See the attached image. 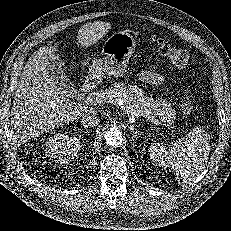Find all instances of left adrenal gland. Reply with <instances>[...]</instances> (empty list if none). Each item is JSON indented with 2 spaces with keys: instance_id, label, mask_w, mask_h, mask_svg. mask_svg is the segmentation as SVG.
Wrapping results in <instances>:
<instances>
[{
  "instance_id": "a2214340",
  "label": "left adrenal gland",
  "mask_w": 231,
  "mask_h": 231,
  "mask_svg": "<svg viewBox=\"0 0 231 231\" xmlns=\"http://www.w3.org/2000/svg\"><path fill=\"white\" fill-rule=\"evenodd\" d=\"M128 128L132 132V140H133V144H134L135 140L137 139V136L139 135V131H137V129L134 127V125H130Z\"/></svg>"
}]
</instances>
